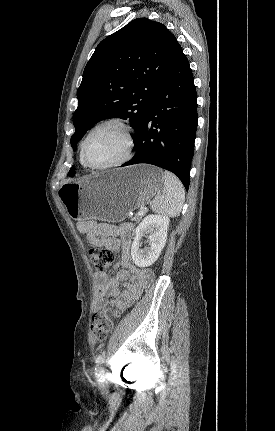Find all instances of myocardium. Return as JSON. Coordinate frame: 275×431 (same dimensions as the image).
I'll list each match as a JSON object with an SVG mask.
<instances>
[{
	"label": "myocardium",
	"mask_w": 275,
	"mask_h": 431,
	"mask_svg": "<svg viewBox=\"0 0 275 431\" xmlns=\"http://www.w3.org/2000/svg\"><path fill=\"white\" fill-rule=\"evenodd\" d=\"M110 125H114V126L119 127L125 135L126 150H125L124 155L120 159H118L114 162H111V163L102 164V165L90 164L86 159V153H85L86 152V144H87L89 138L97 130H99L105 126H110ZM133 150H134V137H133V132H132L131 126L121 118H109V119H106V120L96 124L87 133V135L85 136V138L83 139L82 144H81L80 156H81V161L85 166H87L91 169H95V170H103V169H110V168L118 167V166H121V165L127 163L132 158Z\"/></svg>",
	"instance_id": "obj_1"
}]
</instances>
